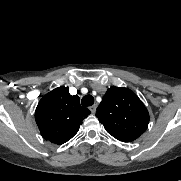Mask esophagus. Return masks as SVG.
Masks as SVG:
<instances>
[{"instance_id":"1","label":"esophagus","mask_w":181,"mask_h":181,"mask_svg":"<svg viewBox=\"0 0 181 181\" xmlns=\"http://www.w3.org/2000/svg\"><path fill=\"white\" fill-rule=\"evenodd\" d=\"M96 108H97V105H96V104H94V105H92V106L89 107V109H90V111H91L92 113H95V112H96Z\"/></svg>"}]
</instances>
